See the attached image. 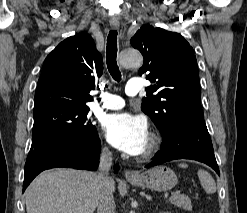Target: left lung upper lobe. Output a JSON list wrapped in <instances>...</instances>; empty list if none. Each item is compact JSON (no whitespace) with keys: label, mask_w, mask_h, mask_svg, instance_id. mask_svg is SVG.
<instances>
[{"label":"left lung upper lobe","mask_w":247,"mask_h":213,"mask_svg":"<svg viewBox=\"0 0 247 213\" xmlns=\"http://www.w3.org/2000/svg\"><path fill=\"white\" fill-rule=\"evenodd\" d=\"M144 57L139 75L148 72L153 86L146 88L141 109L162 136L179 121H204L199 72L193 48L178 33L143 25L131 39Z\"/></svg>","instance_id":"left-lung-upper-lobe-1"}]
</instances>
